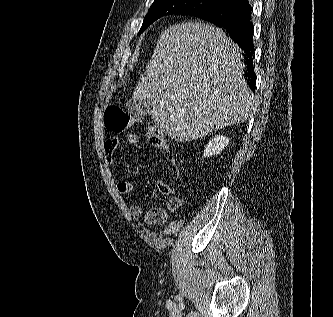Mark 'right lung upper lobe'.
Listing matches in <instances>:
<instances>
[{
    "label": "right lung upper lobe",
    "mask_w": 333,
    "mask_h": 317,
    "mask_svg": "<svg viewBox=\"0 0 333 317\" xmlns=\"http://www.w3.org/2000/svg\"><path fill=\"white\" fill-rule=\"evenodd\" d=\"M230 3H234L236 1H239V0H228Z\"/></svg>",
    "instance_id": "right-lung-upper-lobe-1"
}]
</instances>
